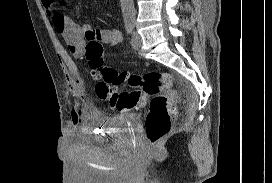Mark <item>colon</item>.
<instances>
[{"instance_id":"1","label":"colon","mask_w":272,"mask_h":183,"mask_svg":"<svg viewBox=\"0 0 272 183\" xmlns=\"http://www.w3.org/2000/svg\"><path fill=\"white\" fill-rule=\"evenodd\" d=\"M84 57L96 81L97 96L111 107L128 111L142 107L147 98H151L145 121L146 136L152 145L160 142L169 133L177 113V92L173 89L172 76L160 71L134 75L104 67L103 45L96 41L86 44ZM124 85L133 90H122Z\"/></svg>"}]
</instances>
